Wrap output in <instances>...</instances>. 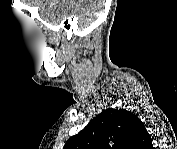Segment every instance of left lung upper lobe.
<instances>
[{
	"label": "left lung upper lobe",
	"instance_id": "obj_1",
	"mask_svg": "<svg viewBox=\"0 0 177 149\" xmlns=\"http://www.w3.org/2000/svg\"><path fill=\"white\" fill-rule=\"evenodd\" d=\"M144 123L125 109H106L96 115L63 149H145Z\"/></svg>",
	"mask_w": 177,
	"mask_h": 149
}]
</instances>
